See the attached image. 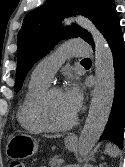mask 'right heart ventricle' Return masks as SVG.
I'll use <instances>...</instances> for the list:
<instances>
[{
	"label": "right heart ventricle",
	"mask_w": 125,
	"mask_h": 167,
	"mask_svg": "<svg viewBox=\"0 0 125 167\" xmlns=\"http://www.w3.org/2000/svg\"><path fill=\"white\" fill-rule=\"evenodd\" d=\"M48 86L49 84L31 77L27 92L18 107L17 120L19 124L30 133L41 134L46 132L36 120L35 106L39 97Z\"/></svg>",
	"instance_id": "right-heart-ventricle-1"
}]
</instances>
